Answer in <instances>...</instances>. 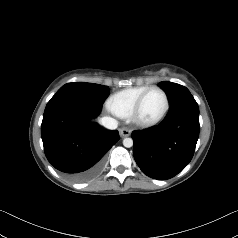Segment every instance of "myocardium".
<instances>
[{
  "label": "myocardium",
  "instance_id": "f54148a6",
  "mask_svg": "<svg viewBox=\"0 0 238 238\" xmlns=\"http://www.w3.org/2000/svg\"><path fill=\"white\" fill-rule=\"evenodd\" d=\"M154 90H158L160 91L164 98H165V107H164V110L163 112L160 114L159 117H157L156 119L154 120H151V121H145V120H142L140 119L139 117V113H140V110H141V107H142V104L145 100V98L147 97V95L154 91ZM169 108H170V100H169V96L167 94V92L160 86H151L149 87L146 91H144L140 97L137 99L136 103L134 104L133 106V109L130 113V119L131 121L140 126V127H143V128H149V127H153V126H156L157 124H159L160 122H162L164 120V118L166 117V115L168 114V111H169Z\"/></svg>",
  "mask_w": 238,
  "mask_h": 238
}]
</instances>
